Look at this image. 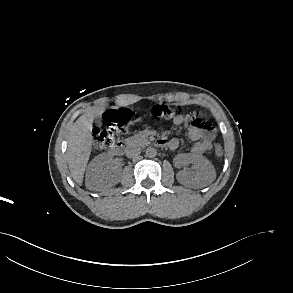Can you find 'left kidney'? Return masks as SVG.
Returning a JSON list of instances; mask_svg holds the SVG:
<instances>
[{
	"mask_svg": "<svg viewBox=\"0 0 293 293\" xmlns=\"http://www.w3.org/2000/svg\"><path fill=\"white\" fill-rule=\"evenodd\" d=\"M185 165L192 164L194 172L179 171L177 180L183 184H193L196 187H204L215 178V169L211 162L202 155L180 154Z\"/></svg>",
	"mask_w": 293,
	"mask_h": 293,
	"instance_id": "left-kidney-1",
	"label": "left kidney"
}]
</instances>
